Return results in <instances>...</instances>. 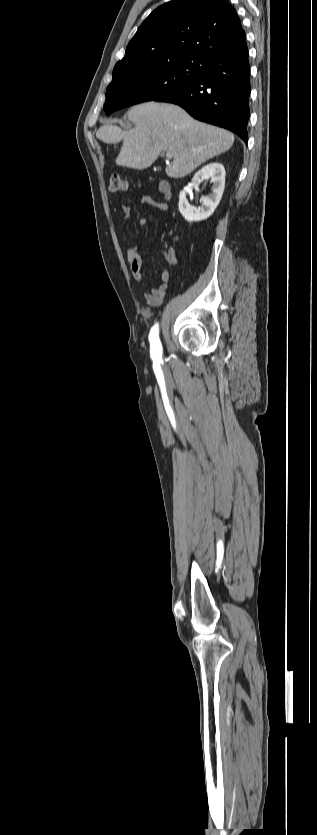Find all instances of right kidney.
<instances>
[{
    "mask_svg": "<svg viewBox=\"0 0 317 835\" xmlns=\"http://www.w3.org/2000/svg\"><path fill=\"white\" fill-rule=\"evenodd\" d=\"M205 178H211L213 183L211 194L201 199V206H191L186 198L185 191L179 194V211L185 220L189 222L202 221L209 218L218 206L225 188V169L218 162H211L201 168L192 178L191 184L197 186Z\"/></svg>",
    "mask_w": 317,
    "mask_h": 835,
    "instance_id": "obj_1",
    "label": "right kidney"
}]
</instances>
